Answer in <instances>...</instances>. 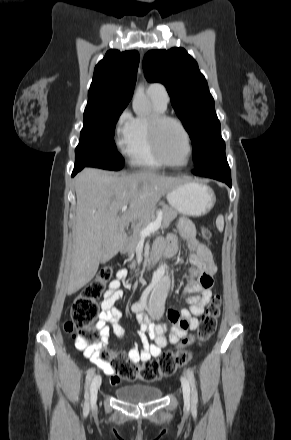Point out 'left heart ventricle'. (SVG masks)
<instances>
[{
	"instance_id": "left-heart-ventricle-1",
	"label": "left heart ventricle",
	"mask_w": 291,
	"mask_h": 440,
	"mask_svg": "<svg viewBox=\"0 0 291 440\" xmlns=\"http://www.w3.org/2000/svg\"><path fill=\"white\" fill-rule=\"evenodd\" d=\"M160 148L166 160L183 163L186 160L187 145L183 132L174 123H166L159 135Z\"/></svg>"
}]
</instances>
